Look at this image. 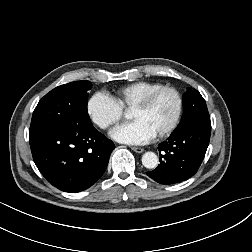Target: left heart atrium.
<instances>
[{
	"mask_svg": "<svg viewBox=\"0 0 252 252\" xmlns=\"http://www.w3.org/2000/svg\"><path fill=\"white\" fill-rule=\"evenodd\" d=\"M111 135L118 142L131 145H140L153 139L156 134L143 121L133 120L116 127L112 131Z\"/></svg>",
	"mask_w": 252,
	"mask_h": 252,
	"instance_id": "left-heart-atrium-1",
	"label": "left heart atrium"
}]
</instances>
